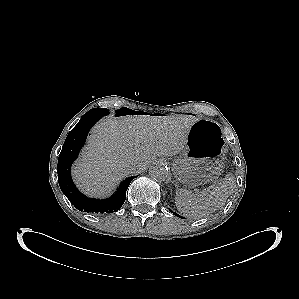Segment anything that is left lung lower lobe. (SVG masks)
I'll use <instances>...</instances> for the list:
<instances>
[{"label": "left lung lower lobe", "instance_id": "obj_1", "mask_svg": "<svg viewBox=\"0 0 299 299\" xmlns=\"http://www.w3.org/2000/svg\"><path fill=\"white\" fill-rule=\"evenodd\" d=\"M169 211L172 212V210H170V209H169ZM174 215H176V216H178V217H180V218H183V217L179 216L178 214H176L175 212H174Z\"/></svg>", "mask_w": 299, "mask_h": 299}]
</instances>
